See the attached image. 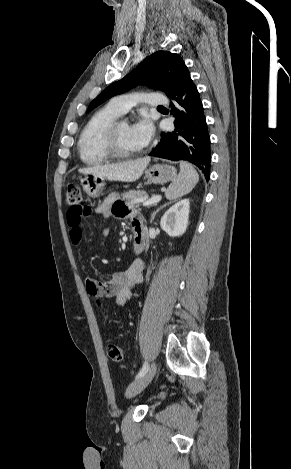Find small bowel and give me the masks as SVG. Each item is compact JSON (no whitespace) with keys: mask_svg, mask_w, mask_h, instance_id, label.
Returning <instances> with one entry per match:
<instances>
[{"mask_svg":"<svg viewBox=\"0 0 291 469\" xmlns=\"http://www.w3.org/2000/svg\"><path fill=\"white\" fill-rule=\"evenodd\" d=\"M96 214L105 218L130 217L132 219L133 228L136 226L143 227V219L135 212L128 209L121 201L118 200L116 194L109 195L105 201L96 208ZM82 215L75 209L67 212V224L70 228V240L74 245L80 244L82 240L81 220ZM108 228L103 229V235L107 236ZM145 263L142 259H136L124 271L115 272L111 278L105 282H99L92 277H86L85 284L89 294L97 298H114L120 306L126 304L131 298L132 288L140 283L143 278V270Z\"/></svg>","mask_w":291,"mask_h":469,"instance_id":"obj_1","label":"small bowel"}]
</instances>
